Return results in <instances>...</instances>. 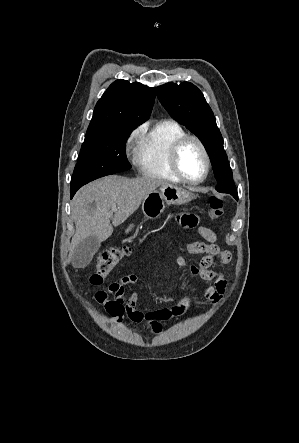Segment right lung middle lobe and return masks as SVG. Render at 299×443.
<instances>
[{"mask_svg":"<svg viewBox=\"0 0 299 443\" xmlns=\"http://www.w3.org/2000/svg\"><path fill=\"white\" fill-rule=\"evenodd\" d=\"M136 127H115L86 134L78 163L71 180V189L97 178L129 170L126 141Z\"/></svg>","mask_w":299,"mask_h":443,"instance_id":"dd1d6c3e","label":"right lung middle lobe"}]
</instances>
